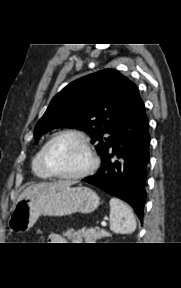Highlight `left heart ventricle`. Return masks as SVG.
<instances>
[{"mask_svg":"<svg viewBox=\"0 0 181 288\" xmlns=\"http://www.w3.org/2000/svg\"><path fill=\"white\" fill-rule=\"evenodd\" d=\"M48 162L57 172L72 174L82 170L88 163L86 149L73 136H64L56 140L48 151Z\"/></svg>","mask_w":181,"mask_h":288,"instance_id":"b2bd125f","label":"left heart ventricle"}]
</instances>
